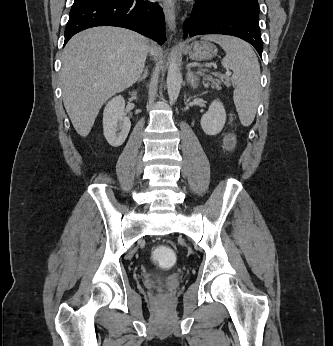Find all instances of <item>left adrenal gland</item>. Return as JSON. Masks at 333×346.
Masks as SVG:
<instances>
[{
  "mask_svg": "<svg viewBox=\"0 0 333 346\" xmlns=\"http://www.w3.org/2000/svg\"><path fill=\"white\" fill-rule=\"evenodd\" d=\"M186 69H187V74H186L187 83L190 84L193 89L197 88L198 76L196 75V73L191 71V68L189 65H187Z\"/></svg>",
  "mask_w": 333,
  "mask_h": 346,
  "instance_id": "a2214340",
  "label": "left adrenal gland"
}]
</instances>
